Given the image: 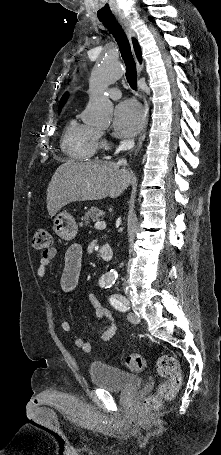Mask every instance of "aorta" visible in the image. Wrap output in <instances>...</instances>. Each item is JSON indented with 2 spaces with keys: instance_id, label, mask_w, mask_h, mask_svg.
<instances>
[{
  "instance_id": "1",
  "label": "aorta",
  "mask_w": 221,
  "mask_h": 455,
  "mask_svg": "<svg viewBox=\"0 0 221 455\" xmlns=\"http://www.w3.org/2000/svg\"><path fill=\"white\" fill-rule=\"evenodd\" d=\"M123 75L122 65L108 58L103 59L92 71L90 77V98L86 109L85 121L95 126H107L110 124L113 105L105 96L109 84L116 82ZM118 274L111 269L104 276L106 283H112Z\"/></svg>"
}]
</instances>
